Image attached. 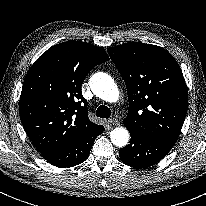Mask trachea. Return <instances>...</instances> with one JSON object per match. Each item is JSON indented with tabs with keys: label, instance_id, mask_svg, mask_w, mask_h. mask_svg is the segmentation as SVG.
<instances>
[{
	"label": "trachea",
	"instance_id": "3493384b",
	"mask_svg": "<svg viewBox=\"0 0 206 206\" xmlns=\"http://www.w3.org/2000/svg\"><path fill=\"white\" fill-rule=\"evenodd\" d=\"M96 115L97 117L108 119L111 116V110L107 106L101 105L98 107Z\"/></svg>",
	"mask_w": 206,
	"mask_h": 206
}]
</instances>
